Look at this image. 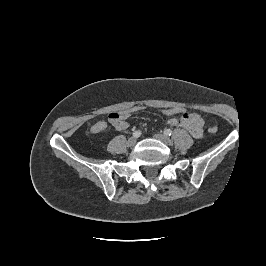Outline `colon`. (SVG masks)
<instances>
[{
    "label": "colon",
    "instance_id": "colon-1",
    "mask_svg": "<svg viewBox=\"0 0 266 266\" xmlns=\"http://www.w3.org/2000/svg\"><path fill=\"white\" fill-rule=\"evenodd\" d=\"M144 108L142 106L136 105L133 106L127 110L121 111V112H113L108 116L109 122L114 125L118 123L121 120H125L132 115L142 111ZM159 112L166 116H175L179 114H185L186 110L184 107L181 106H173V107H166L159 109ZM208 131L210 133H216L218 131V128L216 126H212L208 128Z\"/></svg>",
    "mask_w": 266,
    "mask_h": 266
}]
</instances>
